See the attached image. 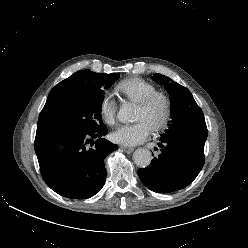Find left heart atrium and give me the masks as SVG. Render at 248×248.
Segmentation results:
<instances>
[{
	"label": "left heart atrium",
	"mask_w": 248,
	"mask_h": 248,
	"mask_svg": "<svg viewBox=\"0 0 248 248\" xmlns=\"http://www.w3.org/2000/svg\"><path fill=\"white\" fill-rule=\"evenodd\" d=\"M152 128L145 121H137L133 124L119 126L112 134L113 141L126 145L134 146L148 139Z\"/></svg>",
	"instance_id": "left-heart-atrium-1"
}]
</instances>
